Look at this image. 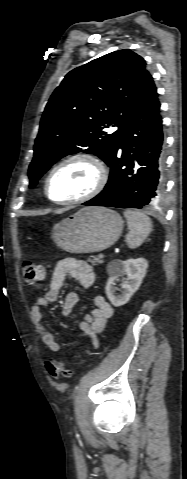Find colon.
Instances as JSON below:
<instances>
[{"label":"colon","instance_id":"colon-1","mask_svg":"<svg viewBox=\"0 0 187 479\" xmlns=\"http://www.w3.org/2000/svg\"><path fill=\"white\" fill-rule=\"evenodd\" d=\"M23 280L27 285H33L43 278V266L29 259L21 263ZM46 369L54 379L67 378L70 372L66 368V363L61 359H50L46 362Z\"/></svg>","mask_w":187,"mask_h":479}]
</instances>
